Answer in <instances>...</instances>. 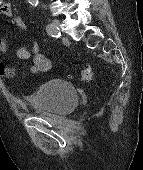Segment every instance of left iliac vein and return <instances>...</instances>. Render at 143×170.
<instances>
[{"label": "left iliac vein", "instance_id": "4c4485c4", "mask_svg": "<svg viewBox=\"0 0 143 170\" xmlns=\"http://www.w3.org/2000/svg\"><path fill=\"white\" fill-rule=\"evenodd\" d=\"M51 24H54L55 26H59L60 25V21L59 20H57V19H55V20H53L52 21V23Z\"/></svg>", "mask_w": 143, "mask_h": 170}]
</instances>
